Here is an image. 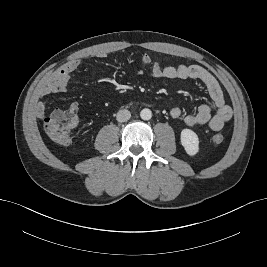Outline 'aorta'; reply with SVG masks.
<instances>
[{"mask_svg": "<svg viewBox=\"0 0 267 267\" xmlns=\"http://www.w3.org/2000/svg\"><path fill=\"white\" fill-rule=\"evenodd\" d=\"M140 117H141L143 120H149V119H151V117H152V112H151V110H150V109H147V108L141 110V112H140Z\"/></svg>", "mask_w": 267, "mask_h": 267, "instance_id": "aorta-1", "label": "aorta"}]
</instances>
